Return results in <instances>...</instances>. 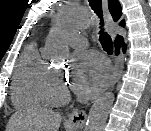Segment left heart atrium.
<instances>
[{
  "mask_svg": "<svg viewBox=\"0 0 151 131\" xmlns=\"http://www.w3.org/2000/svg\"><path fill=\"white\" fill-rule=\"evenodd\" d=\"M110 71L105 62L94 53L76 55L72 65L69 86L82 98L96 96L109 82Z\"/></svg>",
  "mask_w": 151,
  "mask_h": 131,
  "instance_id": "left-heart-atrium-1",
  "label": "left heart atrium"
}]
</instances>
